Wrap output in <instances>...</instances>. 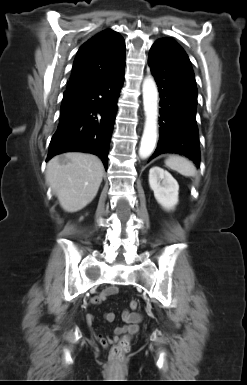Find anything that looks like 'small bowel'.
Here are the masks:
<instances>
[{
	"mask_svg": "<svg viewBox=\"0 0 247 385\" xmlns=\"http://www.w3.org/2000/svg\"><path fill=\"white\" fill-rule=\"evenodd\" d=\"M118 292L117 287H109L103 290L99 295L91 298L90 303L93 305L101 304L109 296L114 295ZM122 318L125 322V325L116 327L111 336H104L98 334L96 336L97 341L104 347H107L109 344L116 342L119 339V336L126 335L128 337L133 336L137 333L139 329V322L141 320V315L138 313H131L129 311H124L122 313ZM104 319L108 322H112L115 319V314L113 312H107L104 314ZM93 322V317L89 316L87 318V323L91 325Z\"/></svg>",
	"mask_w": 247,
	"mask_h": 385,
	"instance_id": "obj_1",
	"label": "small bowel"
}]
</instances>
